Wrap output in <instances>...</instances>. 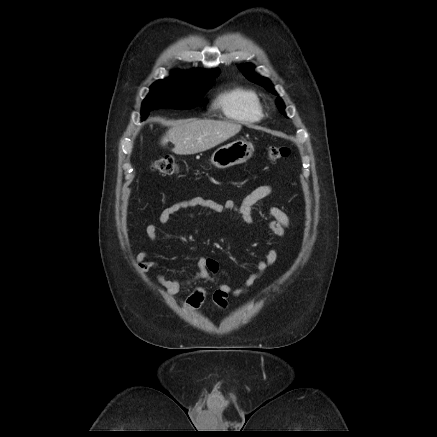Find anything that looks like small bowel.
Instances as JSON below:
<instances>
[{
    "instance_id": "obj_1",
    "label": "small bowel",
    "mask_w": 437,
    "mask_h": 437,
    "mask_svg": "<svg viewBox=\"0 0 437 437\" xmlns=\"http://www.w3.org/2000/svg\"><path fill=\"white\" fill-rule=\"evenodd\" d=\"M273 192L270 185H261L250 192L242 202L238 203L235 200H227L224 203L206 199L204 197H193L187 200L176 202L162 210L158 221L162 226L169 223L171 217L180 211L188 210L195 207L208 209L214 213H222L226 210L238 213L246 224H254L253 207L259 201L267 198ZM270 219L267 222V227L276 236L282 237L289 226V218L287 214L278 207H271L268 211ZM190 216H193L190 214ZM146 237L152 241H158V229L155 224H148L145 228ZM149 253L145 250H140L136 256V260L144 272L154 270L158 283L165 291L174 296L178 294L184 287L192 283L203 280L214 283V275L218 272V263L212 259L200 257L197 263V272L194 277L188 280L179 278L168 279L159 270L157 263L148 260ZM278 253L275 249H270L265 254L264 258L260 259L256 264V270L253 271L245 282L236 288H232L228 284H218L217 289L213 293V301L218 308H226L230 295L239 296L247 292V290L265 273V271L276 263ZM206 298V292L202 287H196L188 295L186 306L189 309L199 308Z\"/></svg>"
}]
</instances>
